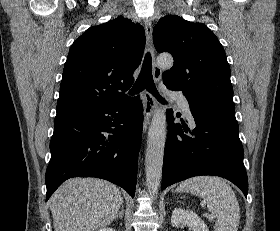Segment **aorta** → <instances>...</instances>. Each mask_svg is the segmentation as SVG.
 <instances>
[{"label":"aorta","instance_id":"762f6f07","mask_svg":"<svg viewBox=\"0 0 280 231\" xmlns=\"http://www.w3.org/2000/svg\"><path fill=\"white\" fill-rule=\"evenodd\" d=\"M157 64L159 68H172L173 58L170 54H160ZM165 139L166 116L163 110H158L152 117L148 131L145 157L146 183L151 195L157 193L161 183Z\"/></svg>","mask_w":280,"mask_h":231}]
</instances>
